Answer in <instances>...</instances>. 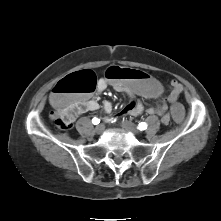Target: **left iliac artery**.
<instances>
[{
	"label": "left iliac artery",
	"mask_w": 221,
	"mask_h": 221,
	"mask_svg": "<svg viewBox=\"0 0 221 221\" xmlns=\"http://www.w3.org/2000/svg\"><path fill=\"white\" fill-rule=\"evenodd\" d=\"M140 131H143L147 128V124L145 122H141L138 124V127H137Z\"/></svg>",
	"instance_id": "44dca946"
}]
</instances>
